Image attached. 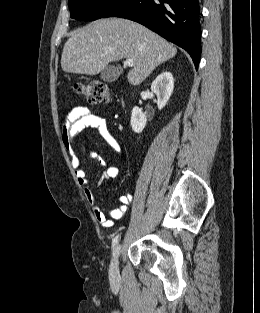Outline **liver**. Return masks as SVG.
Here are the masks:
<instances>
[{
	"mask_svg": "<svg viewBox=\"0 0 260 313\" xmlns=\"http://www.w3.org/2000/svg\"><path fill=\"white\" fill-rule=\"evenodd\" d=\"M176 53L171 43L139 23L99 19L72 33L63 48L61 67L67 73L95 75L111 62L132 59L127 80L136 86Z\"/></svg>",
	"mask_w": 260,
	"mask_h": 313,
	"instance_id": "obj_1",
	"label": "liver"
}]
</instances>
